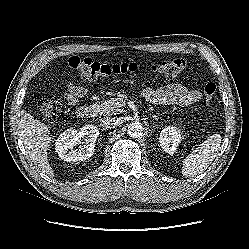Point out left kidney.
I'll use <instances>...</instances> for the list:
<instances>
[{
  "mask_svg": "<svg viewBox=\"0 0 249 249\" xmlns=\"http://www.w3.org/2000/svg\"><path fill=\"white\" fill-rule=\"evenodd\" d=\"M181 141V131L175 126H168L161 130L159 143L168 154H174Z\"/></svg>",
  "mask_w": 249,
  "mask_h": 249,
  "instance_id": "1",
  "label": "left kidney"
}]
</instances>
